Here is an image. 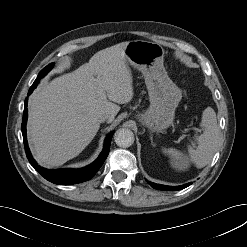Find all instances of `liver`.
<instances>
[{
    "mask_svg": "<svg viewBox=\"0 0 247 247\" xmlns=\"http://www.w3.org/2000/svg\"><path fill=\"white\" fill-rule=\"evenodd\" d=\"M128 42L95 53L88 63L39 87L29 100L28 141L36 161L56 167L79 155L97 134L103 114L113 121L133 98L125 58Z\"/></svg>",
    "mask_w": 247,
    "mask_h": 247,
    "instance_id": "1",
    "label": "liver"
}]
</instances>
